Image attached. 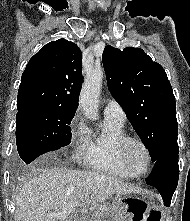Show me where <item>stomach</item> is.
Returning <instances> with one entry per match:
<instances>
[{
  "label": "stomach",
  "mask_w": 190,
  "mask_h": 221,
  "mask_svg": "<svg viewBox=\"0 0 190 221\" xmlns=\"http://www.w3.org/2000/svg\"><path fill=\"white\" fill-rule=\"evenodd\" d=\"M118 205L123 209L122 213L119 209L112 212L106 204L100 206L97 210L101 214L100 221H163V218L148 217H166V212H161L160 204H155V200L146 197L139 200H118Z\"/></svg>",
  "instance_id": "0dacf381"
}]
</instances>
